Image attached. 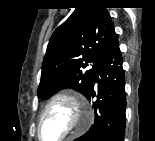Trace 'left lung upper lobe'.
<instances>
[{
  "label": "left lung upper lobe",
  "instance_id": "obj_1",
  "mask_svg": "<svg viewBox=\"0 0 155 141\" xmlns=\"http://www.w3.org/2000/svg\"><path fill=\"white\" fill-rule=\"evenodd\" d=\"M115 35L103 0L77 1L75 11L51 36L42 64L38 98L47 99L67 87L86 96L99 61ZM89 63L93 64L92 69L83 71Z\"/></svg>",
  "mask_w": 155,
  "mask_h": 141
}]
</instances>
